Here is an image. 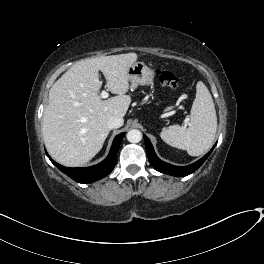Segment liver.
I'll return each mask as SVG.
<instances>
[{
  "label": "liver",
  "instance_id": "1",
  "mask_svg": "<svg viewBox=\"0 0 264 264\" xmlns=\"http://www.w3.org/2000/svg\"><path fill=\"white\" fill-rule=\"evenodd\" d=\"M136 53L88 58L75 63L51 87L43 113L42 132L46 149L58 163L78 167L89 162L102 148L110 129V117L123 118L131 103L129 67ZM117 96L103 100L102 82Z\"/></svg>",
  "mask_w": 264,
  "mask_h": 264
}]
</instances>
